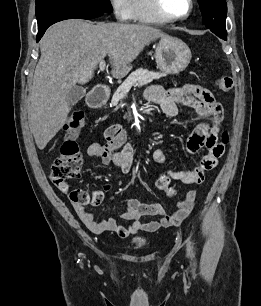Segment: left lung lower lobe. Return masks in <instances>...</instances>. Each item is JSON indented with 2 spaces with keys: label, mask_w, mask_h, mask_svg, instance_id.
Listing matches in <instances>:
<instances>
[{
  "label": "left lung lower lobe",
  "mask_w": 261,
  "mask_h": 306,
  "mask_svg": "<svg viewBox=\"0 0 261 306\" xmlns=\"http://www.w3.org/2000/svg\"><path fill=\"white\" fill-rule=\"evenodd\" d=\"M216 35L219 36L223 40H226V38H227V33L226 34L217 33Z\"/></svg>",
  "instance_id": "left-lung-lower-lobe-1"
}]
</instances>
